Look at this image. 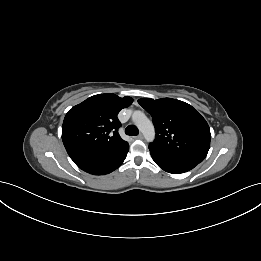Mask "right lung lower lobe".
Returning <instances> with one entry per match:
<instances>
[{
  "label": "right lung lower lobe",
  "instance_id": "obj_1",
  "mask_svg": "<svg viewBox=\"0 0 261 261\" xmlns=\"http://www.w3.org/2000/svg\"><path fill=\"white\" fill-rule=\"evenodd\" d=\"M129 146L118 152H91L71 157L83 171L93 175H105L116 170L125 160Z\"/></svg>",
  "mask_w": 261,
  "mask_h": 261
}]
</instances>
